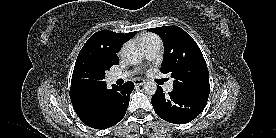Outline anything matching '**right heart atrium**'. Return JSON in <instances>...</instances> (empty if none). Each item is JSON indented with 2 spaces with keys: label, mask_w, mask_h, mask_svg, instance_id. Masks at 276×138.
<instances>
[{
  "label": "right heart atrium",
  "mask_w": 276,
  "mask_h": 138,
  "mask_svg": "<svg viewBox=\"0 0 276 138\" xmlns=\"http://www.w3.org/2000/svg\"><path fill=\"white\" fill-rule=\"evenodd\" d=\"M125 50H126V47H122L121 50H120V55H123L125 53Z\"/></svg>",
  "instance_id": "right-heart-atrium-1"
}]
</instances>
